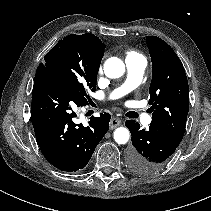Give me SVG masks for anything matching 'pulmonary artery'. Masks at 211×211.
<instances>
[{
  "label": "pulmonary artery",
  "mask_w": 211,
  "mask_h": 211,
  "mask_svg": "<svg viewBox=\"0 0 211 211\" xmlns=\"http://www.w3.org/2000/svg\"><path fill=\"white\" fill-rule=\"evenodd\" d=\"M125 64L128 73L127 81L121 88L114 92L115 96L123 95L141 82L147 62L143 56L134 54L126 57ZM144 123H150L149 116L145 117Z\"/></svg>",
  "instance_id": "pulmonary-artery-1"
}]
</instances>
